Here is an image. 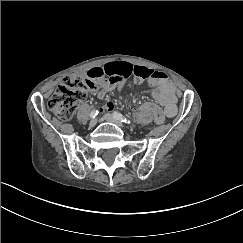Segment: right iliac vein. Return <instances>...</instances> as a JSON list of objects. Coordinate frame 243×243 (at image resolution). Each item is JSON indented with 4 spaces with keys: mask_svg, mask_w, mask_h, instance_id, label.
Segmentation results:
<instances>
[{
    "mask_svg": "<svg viewBox=\"0 0 243 243\" xmlns=\"http://www.w3.org/2000/svg\"><path fill=\"white\" fill-rule=\"evenodd\" d=\"M96 124H97V119L95 118L90 121L89 126L94 127Z\"/></svg>",
    "mask_w": 243,
    "mask_h": 243,
    "instance_id": "obj_1",
    "label": "right iliac vein"
}]
</instances>
